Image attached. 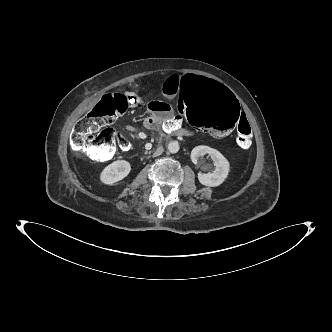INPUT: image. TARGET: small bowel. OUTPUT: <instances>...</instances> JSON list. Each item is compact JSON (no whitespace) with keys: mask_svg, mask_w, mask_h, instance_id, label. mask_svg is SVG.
Returning a JSON list of instances; mask_svg holds the SVG:
<instances>
[{"mask_svg":"<svg viewBox=\"0 0 332 332\" xmlns=\"http://www.w3.org/2000/svg\"><path fill=\"white\" fill-rule=\"evenodd\" d=\"M178 75H169L162 82V90L167 96H175L176 85L179 82ZM134 99L132 100V105L139 104L141 102V98L138 95H134ZM136 99V102H135ZM179 119L181 116L174 117L171 109V105L168 100H155L148 104L147 106V116L144 120V126L147 129L157 130L163 124L167 123L169 126L180 127ZM240 119V115H239ZM239 121V120H238ZM182 129L186 132L187 136H193V131L189 128L182 127ZM142 133H138L136 136L140 137ZM230 134V133H229ZM228 134V135H229ZM226 135V136H228ZM222 137H213L216 139H221Z\"/></svg>","mask_w":332,"mask_h":332,"instance_id":"1","label":"small bowel"}]
</instances>
